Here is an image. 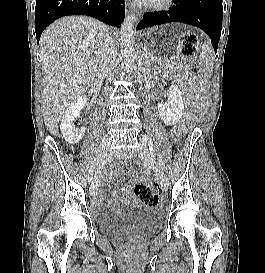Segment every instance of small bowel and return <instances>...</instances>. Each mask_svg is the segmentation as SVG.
<instances>
[{
    "label": "small bowel",
    "mask_w": 265,
    "mask_h": 273,
    "mask_svg": "<svg viewBox=\"0 0 265 273\" xmlns=\"http://www.w3.org/2000/svg\"><path fill=\"white\" fill-rule=\"evenodd\" d=\"M122 193H123V194H126V193H127V190L124 189V190L122 191ZM95 206H96L97 208H102V207L104 206L103 199H102V197H101L100 195H97V197H96V199H95Z\"/></svg>",
    "instance_id": "c3829d8e"
}]
</instances>
